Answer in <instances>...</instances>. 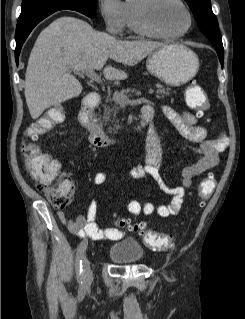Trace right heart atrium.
<instances>
[{
  "instance_id": "right-heart-atrium-1",
  "label": "right heart atrium",
  "mask_w": 245,
  "mask_h": 319,
  "mask_svg": "<svg viewBox=\"0 0 245 319\" xmlns=\"http://www.w3.org/2000/svg\"><path fill=\"white\" fill-rule=\"evenodd\" d=\"M98 5L107 32L120 35L125 28L124 3L121 0H98Z\"/></svg>"
}]
</instances>
